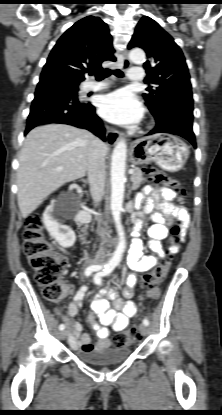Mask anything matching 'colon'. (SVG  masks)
Segmentation results:
<instances>
[{
  "label": "colon",
  "mask_w": 222,
  "mask_h": 415,
  "mask_svg": "<svg viewBox=\"0 0 222 415\" xmlns=\"http://www.w3.org/2000/svg\"><path fill=\"white\" fill-rule=\"evenodd\" d=\"M146 174L150 179L158 184L184 195L180 183L155 168L146 169ZM182 228L175 225L171 229V234L178 237ZM24 252L28 256L30 265L35 271L36 281L43 287L44 297L53 302L60 301L69 292L70 288L60 280L63 268L66 266L65 257L56 253L52 243L46 238L43 231L41 217L32 214L26 218L24 231ZM171 265L169 257L164 258L151 271L143 276L142 284L147 289L149 298L158 297V286L166 277ZM139 339L136 329H131L120 334L116 339L117 346L128 345Z\"/></svg>",
  "instance_id": "obj_1"
}]
</instances>
